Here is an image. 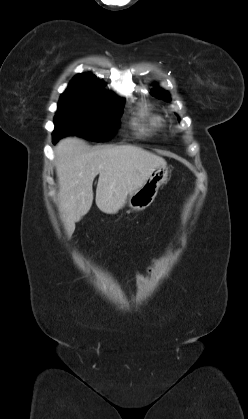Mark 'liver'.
<instances>
[{"label": "liver", "instance_id": "1", "mask_svg": "<svg viewBox=\"0 0 248 419\" xmlns=\"http://www.w3.org/2000/svg\"><path fill=\"white\" fill-rule=\"evenodd\" d=\"M54 153L58 207L68 237L73 234L75 223L92 206V184L97 175L96 205L106 214H115L155 169L166 166L164 158L140 147L122 145L89 150L76 137L60 140Z\"/></svg>", "mask_w": 248, "mask_h": 419}]
</instances>
